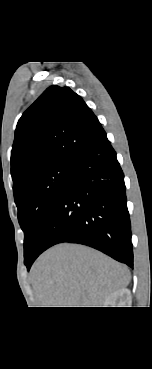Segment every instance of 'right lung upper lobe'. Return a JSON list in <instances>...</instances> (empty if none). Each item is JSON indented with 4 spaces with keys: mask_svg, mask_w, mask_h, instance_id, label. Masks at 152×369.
I'll list each match as a JSON object with an SVG mask.
<instances>
[{
    "mask_svg": "<svg viewBox=\"0 0 152 369\" xmlns=\"http://www.w3.org/2000/svg\"><path fill=\"white\" fill-rule=\"evenodd\" d=\"M105 133L83 99L69 87L50 86L24 112L11 154L13 191L30 173L72 162Z\"/></svg>",
    "mask_w": 152,
    "mask_h": 369,
    "instance_id": "cb5924a9",
    "label": "right lung upper lobe"
}]
</instances>
